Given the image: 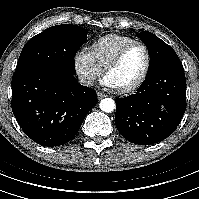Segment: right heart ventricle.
<instances>
[{"label": "right heart ventricle", "instance_id": "e07e8e85", "mask_svg": "<svg viewBox=\"0 0 199 199\" xmlns=\"http://www.w3.org/2000/svg\"><path fill=\"white\" fill-rule=\"evenodd\" d=\"M133 41V38L124 35H106L90 45L89 53L97 67L103 70L122 47Z\"/></svg>", "mask_w": 199, "mask_h": 199}]
</instances>
